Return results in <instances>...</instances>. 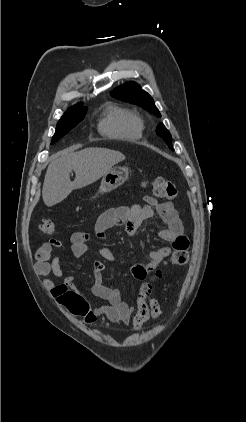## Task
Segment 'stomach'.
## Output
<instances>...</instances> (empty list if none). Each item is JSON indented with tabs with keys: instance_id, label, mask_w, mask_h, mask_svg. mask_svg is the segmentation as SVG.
<instances>
[{
	"instance_id": "obj_1",
	"label": "stomach",
	"mask_w": 246,
	"mask_h": 422,
	"mask_svg": "<svg viewBox=\"0 0 246 422\" xmlns=\"http://www.w3.org/2000/svg\"><path fill=\"white\" fill-rule=\"evenodd\" d=\"M129 177L127 167H115L106 173L101 181L98 193H108L124 184Z\"/></svg>"
}]
</instances>
